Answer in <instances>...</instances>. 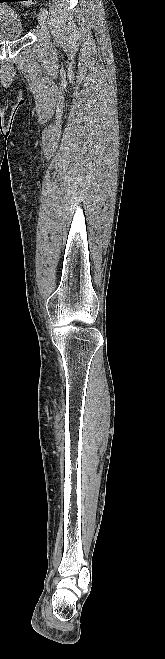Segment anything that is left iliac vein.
I'll use <instances>...</instances> for the list:
<instances>
[{
	"label": "left iliac vein",
	"instance_id": "left-iliac-vein-1",
	"mask_svg": "<svg viewBox=\"0 0 165 659\" xmlns=\"http://www.w3.org/2000/svg\"><path fill=\"white\" fill-rule=\"evenodd\" d=\"M38 23L41 26L42 29L46 30L47 29V20H46V15L43 14L42 12L38 13L37 15Z\"/></svg>",
	"mask_w": 165,
	"mask_h": 659
}]
</instances>
